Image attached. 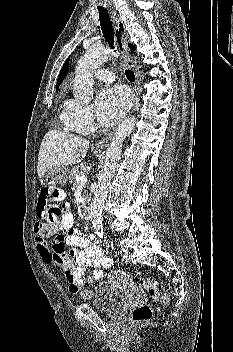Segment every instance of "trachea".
<instances>
[{
    "instance_id": "3493384b",
    "label": "trachea",
    "mask_w": 233,
    "mask_h": 352,
    "mask_svg": "<svg viewBox=\"0 0 233 352\" xmlns=\"http://www.w3.org/2000/svg\"><path fill=\"white\" fill-rule=\"evenodd\" d=\"M98 11H99V20H100L103 36L108 42L109 46L112 49H114V32H113L112 21L110 20L108 10L104 9L103 7H98ZM125 74L127 79L130 82L135 81V75L131 70H126Z\"/></svg>"
}]
</instances>
